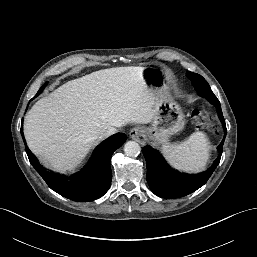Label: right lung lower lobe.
<instances>
[{"mask_svg": "<svg viewBox=\"0 0 257 257\" xmlns=\"http://www.w3.org/2000/svg\"><path fill=\"white\" fill-rule=\"evenodd\" d=\"M125 141L123 133L104 140L93 150L85 166L70 175L43 167L28 148L26 152L32 166L52 190L70 200L88 202L102 197L108 191L112 180L111 156Z\"/></svg>", "mask_w": 257, "mask_h": 257, "instance_id": "right-lung-lower-lobe-1", "label": "right lung lower lobe"}]
</instances>
